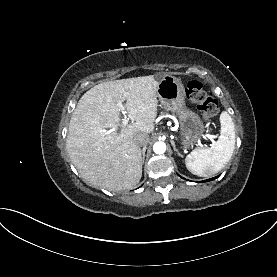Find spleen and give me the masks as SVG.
<instances>
[{"instance_id": "obj_1", "label": "spleen", "mask_w": 277, "mask_h": 277, "mask_svg": "<svg viewBox=\"0 0 277 277\" xmlns=\"http://www.w3.org/2000/svg\"><path fill=\"white\" fill-rule=\"evenodd\" d=\"M220 137L209 148H196L185 159L187 169L194 175L209 177L222 170L235 149V126L228 112L220 115Z\"/></svg>"}]
</instances>
